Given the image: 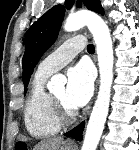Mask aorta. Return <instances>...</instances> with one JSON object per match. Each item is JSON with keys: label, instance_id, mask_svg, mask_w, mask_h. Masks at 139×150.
<instances>
[{"label": "aorta", "instance_id": "obj_1", "mask_svg": "<svg viewBox=\"0 0 139 150\" xmlns=\"http://www.w3.org/2000/svg\"><path fill=\"white\" fill-rule=\"evenodd\" d=\"M84 26L88 27L96 44L100 87L86 128L81 150H96L109 111L113 82V43L107 24L98 14L92 11L83 10L69 15L66 19L64 29L71 32ZM56 81L57 77H53L49 86L52 87Z\"/></svg>", "mask_w": 139, "mask_h": 150}]
</instances>
